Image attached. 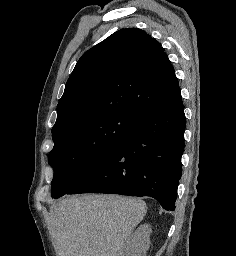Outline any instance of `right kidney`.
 <instances>
[{"instance_id":"ca27d5eb","label":"right kidney","mask_w":236,"mask_h":256,"mask_svg":"<svg viewBox=\"0 0 236 256\" xmlns=\"http://www.w3.org/2000/svg\"><path fill=\"white\" fill-rule=\"evenodd\" d=\"M151 232L152 228L150 224L139 226L127 244V256H146L150 246Z\"/></svg>"}]
</instances>
